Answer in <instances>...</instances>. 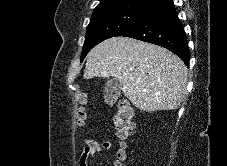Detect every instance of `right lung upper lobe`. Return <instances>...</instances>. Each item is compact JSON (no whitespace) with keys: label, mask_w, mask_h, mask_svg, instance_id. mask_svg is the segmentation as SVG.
Segmentation results:
<instances>
[{"label":"right lung upper lobe","mask_w":227,"mask_h":166,"mask_svg":"<svg viewBox=\"0 0 227 166\" xmlns=\"http://www.w3.org/2000/svg\"><path fill=\"white\" fill-rule=\"evenodd\" d=\"M166 1L168 0H101L98 6L94 10L113 6V5L124 4V3H138V4H145V5H152L155 7H159Z\"/></svg>","instance_id":"1"}]
</instances>
